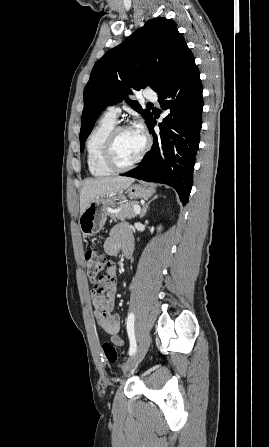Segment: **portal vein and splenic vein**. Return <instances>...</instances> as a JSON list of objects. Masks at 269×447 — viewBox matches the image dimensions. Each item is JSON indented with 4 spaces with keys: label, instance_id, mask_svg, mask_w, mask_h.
<instances>
[{
    "label": "portal vein and splenic vein",
    "instance_id": "obj_1",
    "mask_svg": "<svg viewBox=\"0 0 269 447\" xmlns=\"http://www.w3.org/2000/svg\"><path fill=\"white\" fill-rule=\"evenodd\" d=\"M133 210H134L136 216H138V214H140V212H141V208H140V206H138V204H134Z\"/></svg>",
    "mask_w": 269,
    "mask_h": 447
}]
</instances>
